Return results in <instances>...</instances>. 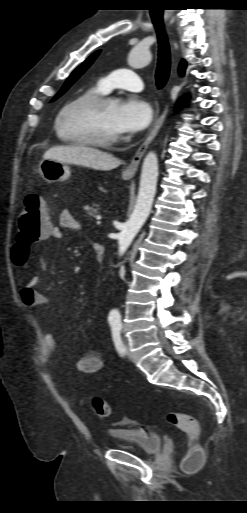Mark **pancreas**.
Instances as JSON below:
<instances>
[{
	"instance_id": "pancreas-1",
	"label": "pancreas",
	"mask_w": 247,
	"mask_h": 513,
	"mask_svg": "<svg viewBox=\"0 0 247 513\" xmlns=\"http://www.w3.org/2000/svg\"><path fill=\"white\" fill-rule=\"evenodd\" d=\"M98 205L93 203L92 206H87L86 211L90 218L95 217L99 213Z\"/></svg>"
}]
</instances>
